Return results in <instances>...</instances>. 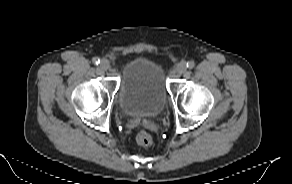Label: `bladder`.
Instances as JSON below:
<instances>
[{"instance_id": "31cf9c89", "label": "bladder", "mask_w": 292, "mask_h": 184, "mask_svg": "<svg viewBox=\"0 0 292 184\" xmlns=\"http://www.w3.org/2000/svg\"><path fill=\"white\" fill-rule=\"evenodd\" d=\"M167 99L165 73L158 63L136 58L125 67L118 90V104L125 115H158L166 106Z\"/></svg>"}]
</instances>
